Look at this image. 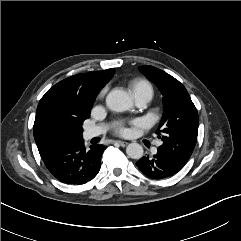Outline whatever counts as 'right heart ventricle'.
<instances>
[{
  "label": "right heart ventricle",
  "mask_w": 241,
  "mask_h": 241,
  "mask_svg": "<svg viewBox=\"0 0 241 241\" xmlns=\"http://www.w3.org/2000/svg\"><path fill=\"white\" fill-rule=\"evenodd\" d=\"M129 88L133 96L141 92L153 93L152 85L145 79L137 78L130 82Z\"/></svg>",
  "instance_id": "obj_1"
}]
</instances>
